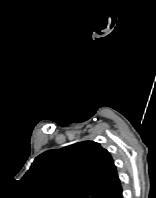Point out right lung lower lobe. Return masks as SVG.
<instances>
[{"label":"right lung lower lobe","instance_id":"98d812e1","mask_svg":"<svg viewBox=\"0 0 156 198\" xmlns=\"http://www.w3.org/2000/svg\"><path fill=\"white\" fill-rule=\"evenodd\" d=\"M115 198H123V196H122V191L119 192V193L115 196Z\"/></svg>","mask_w":156,"mask_h":198}]
</instances>
